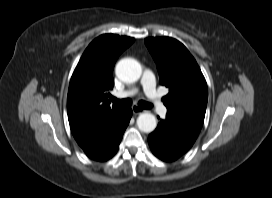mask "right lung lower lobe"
<instances>
[{"label": "right lung lower lobe", "instance_id": "1", "mask_svg": "<svg viewBox=\"0 0 272 198\" xmlns=\"http://www.w3.org/2000/svg\"><path fill=\"white\" fill-rule=\"evenodd\" d=\"M131 116V108H121L89 135L77 141V143L91 159L98 161L108 160L117 152Z\"/></svg>", "mask_w": 272, "mask_h": 198}]
</instances>
